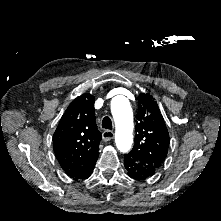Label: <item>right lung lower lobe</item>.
Instances as JSON below:
<instances>
[{"label":"right lung lower lobe","mask_w":221,"mask_h":221,"mask_svg":"<svg viewBox=\"0 0 221 221\" xmlns=\"http://www.w3.org/2000/svg\"><path fill=\"white\" fill-rule=\"evenodd\" d=\"M96 163V162H95ZM95 163L78 179H75V180H84V179H87L91 174H92V171L94 169V166H95Z\"/></svg>","instance_id":"1"}]
</instances>
